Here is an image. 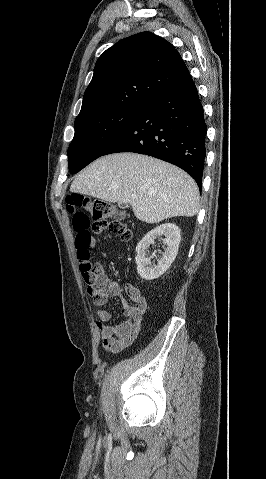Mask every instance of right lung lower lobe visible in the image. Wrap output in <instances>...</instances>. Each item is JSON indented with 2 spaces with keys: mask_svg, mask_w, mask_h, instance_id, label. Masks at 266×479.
<instances>
[{
  "mask_svg": "<svg viewBox=\"0 0 266 479\" xmlns=\"http://www.w3.org/2000/svg\"><path fill=\"white\" fill-rule=\"evenodd\" d=\"M207 128L192 80L154 98L101 156L117 152L146 154L172 163L202 185Z\"/></svg>",
  "mask_w": 266,
  "mask_h": 479,
  "instance_id": "right-lung-lower-lobe-1",
  "label": "right lung lower lobe"
}]
</instances>
